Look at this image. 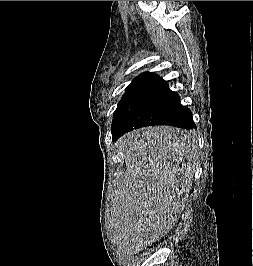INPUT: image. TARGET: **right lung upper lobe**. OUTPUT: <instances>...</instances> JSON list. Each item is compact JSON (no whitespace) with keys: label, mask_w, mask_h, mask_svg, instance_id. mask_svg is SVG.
Masks as SVG:
<instances>
[{"label":"right lung upper lobe","mask_w":253,"mask_h":266,"mask_svg":"<svg viewBox=\"0 0 253 266\" xmlns=\"http://www.w3.org/2000/svg\"><path fill=\"white\" fill-rule=\"evenodd\" d=\"M161 86H168V85L158 75H155L154 73L146 72V73L140 74L129 84L124 96L132 94V93H136L139 91L155 88V87H161Z\"/></svg>","instance_id":"obj_1"}]
</instances>
